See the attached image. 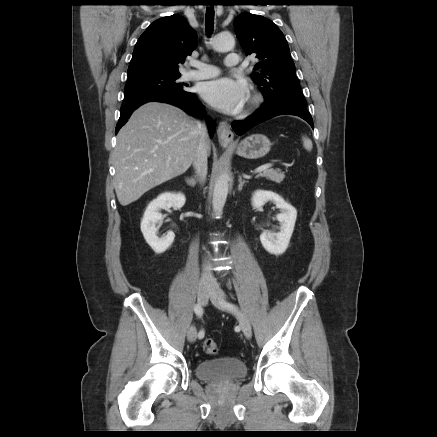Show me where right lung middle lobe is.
Here are the masks:
<instances>
[{"label": "right lung middle lobe", "mask_w": 437, "mask_h": 437, "mask_svg": "<svg viewBox=\"0 0 437 437\" xmlns=\"http://www.w3.org/2000/svg\"><path fill=\"white\" fill-rule=\"evenodd\" d=\"M125 100L131 101L159 93H188L186 84L179 81L180 73H141L127 75Z\"/></svg>", "instance_id": "1"}]
</instances>
